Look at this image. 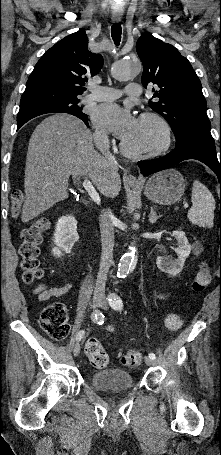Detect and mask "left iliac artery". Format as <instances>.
<instances>
[{"label": "left iliac artery", "instance_id": "1", "mask_svg": "<svg viewBox=\"0 0 221 455\" xmlns=\"http://www.w3.org/2000/svg\"><path fill=\"white\" fill-rule=\"evenodd\" d=\"M108 301L114 310H121L123 308V301L116 293H110L108 295ZM149 357L153 360L156 359V355L154 353H150Z\"/></svg>", "mask_w": 221, "mask_h": 455}]
</instances>
